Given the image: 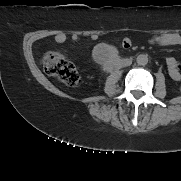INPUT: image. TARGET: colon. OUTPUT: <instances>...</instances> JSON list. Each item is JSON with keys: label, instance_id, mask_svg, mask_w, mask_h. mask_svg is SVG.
I'll list each match as a JSON object with an SVG mask.
<instances>
[{"label": "colon", "instance_id": "colon-1", "mask_svg": "<svg viewBox=\"0 0 181 181\" xmlns=\"http://www.w3.org/2000/svg\"><path fill=\"white\" fill-rule=\"evenodd\" d=\"M42 65L44 71L70 87H75L80 82V75L75 65L63 55L50 52L43 56Z\"/></svg>", "mask_w": 181, "mask_h": 181}]
</instances>
